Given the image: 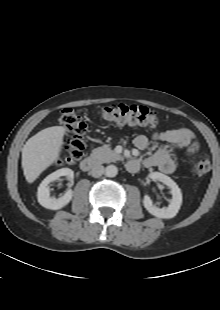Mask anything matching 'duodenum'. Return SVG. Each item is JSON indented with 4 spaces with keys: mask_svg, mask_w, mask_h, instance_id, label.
<instances>
[{
    "mask_svg": "<svg viewBox=\"0 0 220 310\" xmlns=\"http://www.w3.org/2000/svg\"><path fill=\"white\" fill-rule=\"evenodd\" d=\"M97 159L94 157H87L81 160L80 168L83 172H90L97 166ZM140 162L136 159H131L127 162V168L131 172L138 170Z\"/></svg>",
    "mask_w": 220,
    "mask_h": 310,
    "instance_id": "obj_1",
    "label": "duodenum"
}]
</instances>
